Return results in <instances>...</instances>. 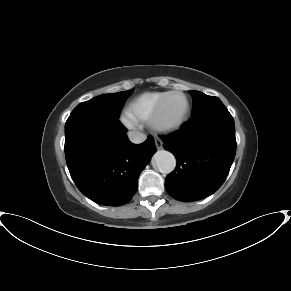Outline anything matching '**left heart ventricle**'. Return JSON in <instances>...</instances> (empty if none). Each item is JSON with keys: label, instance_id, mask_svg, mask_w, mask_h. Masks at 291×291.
Here are the masks:
<instances>
[{"label": "left heart ventricle", "instance_id": "left-heart-ventricle-1", "mask_svg": "<svg viewBox=\"0 0 291 291\" xmlns=\"http://www.w3.org/2000/svg\"><path fill=\"white\" fill-rule=\"evenodd\" d=\"M186 113V99L182 95H174L166 102L161 122L165 125L179 123Z\"/></svg>", "mask_w": 291, "mask_h": 291}]
</instances>
